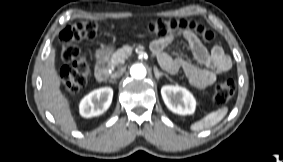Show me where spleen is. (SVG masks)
Listing matches in <instances>:
<instances>
[{
  "instance_id": "spleen-1",
  "label": "spleen",
  "mask_w": 283,
  "mask_h": 162,
  "mask_svg": "<svg viewBox=\"0 0 283 162\" xmlns=\"http://www.w3.org/2000/svg\"><path fill=\"white\" fill-rule=\"evenodd\" d=\"M227 112H228L227 107H223L216 111L210 112L203 119L193 123L190 128L193 131H200L203 129H208L210 127H213L225 117Z\"/></svg>"
}]
</instances>
